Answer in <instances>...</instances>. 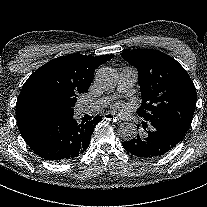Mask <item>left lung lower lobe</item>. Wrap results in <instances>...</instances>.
I'll return each mask as SVG.
<instances>
[{
    "label": "left lung lower lobe",
    "instance_id": "1",
    "mask_svg": "<svg viewBox=\"0 0 207 207\" xmlns=\"http://www.w3.org/2000/svg\"><path fill=\"white\" fill-rule=\"evenodd\" d=\"M142 126L144 129L148 128L146 135H137L130 141L122 142V146L127 152L138 157L154 158L161 156L173 149L183 139L174 129L167 126L144 121Z\"/></svg>",
    "mask_w": 207,
    "mask_h": 207
}]
</instances>
